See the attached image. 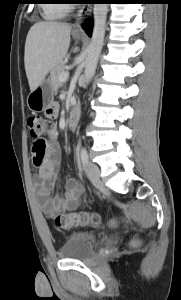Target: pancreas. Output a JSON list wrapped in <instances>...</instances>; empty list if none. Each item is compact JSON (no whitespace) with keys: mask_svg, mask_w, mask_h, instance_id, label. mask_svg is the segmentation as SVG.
<instances>
[{"mask_svg":"<svg viewBox=\"0 0 181 300\" xmlns=\"http://www.w3.org/2000/svg\"><path fill=\"white\" fill-rule=\"evenodd\" d=\"M66 72L65 62L59 61L56 66L51 70L50 77L54 91H57L62 86L63 82L60 81L59 77L62 73Z\"/></svg>","mask_w":181,"mask_h":300,"instance_id":"1","label":"pancreas"}]
</instances>
